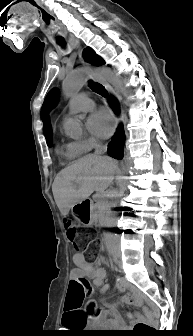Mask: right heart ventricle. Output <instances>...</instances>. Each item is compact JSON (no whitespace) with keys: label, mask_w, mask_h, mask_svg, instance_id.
<instances>
[{"label":"right heart ventricle","mask_w":193,"mask_h":336,"mask_svg":"<svg viewBox=\"0 0 193 336\" xmlns=\"http://www.w3.org/2000/svg\"><path fill=\"white\" fill-rule=\"evenodd\" d=\"M58 152L66 160H74L82 154L74 142L59 147Z\"/></svg>","instance_id":"right-heart-ventricle-1"}]
</instances>
